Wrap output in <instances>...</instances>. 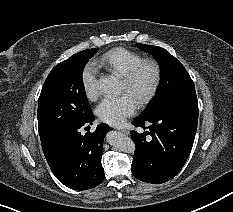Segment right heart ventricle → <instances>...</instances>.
I'll return each mask as SVG.
<instances>
[{
	"instance_id": "1",
	"label": "right heart ventricle",
	"mask_w": 233,
	"mask_h": 212,
	"mask_svg": "<svg viewBox=\"0 0 233 212\" xmlns=\"http://www.w3.org/2000/svg\"><path fill=\"white\" fill-rule=\"evenodd\" d=\"M142 60L144 58L141 54L127 48L117 47L99 57L96 64L123 77Z\"/></svg>"
}]
</instances>
